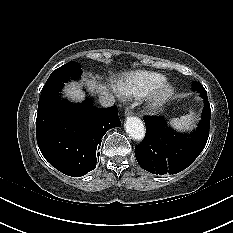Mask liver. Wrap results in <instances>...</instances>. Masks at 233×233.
Listing matches in <instances>:
<instances>
[{"label":"liver","instance_id":"1","mask_svg":"<svg viewBox=\"0 0 233 233\" xmlns=\"http://www.w3.org/2000/svg\"><path fill=\"white\" fill-rule=\"evenodd\" d=\"M87 86L91 90V92H101L105 93L107 91L106 86L98 85L94 81H86ZM64 93L67 97L71 98L72 100L81 101L84 98V93L81 89L80 84L72 82L70 83L64 90Z\"/></svg>","mask_w":233,"mask_h":233}]
</instances>
